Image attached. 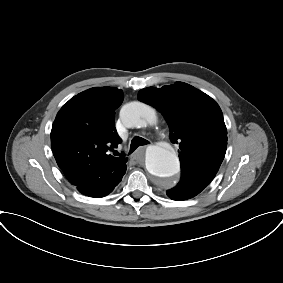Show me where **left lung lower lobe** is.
Listing matches in <instances>:
<instances>
[{
	"mask_svg": "<svg viewBox=\"0 0 283 283\" xmlns=\"http://www.w3.org/2000/svg\"><path fill=\"white\" fill-rule=\"evenodd\" d=\"M207 185L183 174L178 185L168 190L167 195L173 200H186L199 194Z\"/></svg>",
	"mask_w": 283,
	"mask_h": 283,
	"instance_id": "obj_1",
	"label": "left lung lower lobe"
}]
</instances>
